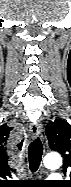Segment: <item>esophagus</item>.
Here are the masks:
<instances>
[{"instance_id": "esophagus-1", "label": "esophagus", "mask_w": 71, "mask_h": 187, "mask_svg": "<svg viewBox=\"0 0 71 187\" xmlns=\"http://www.w3.org/2000/svg\"><path fill=\"white\" fill-rule=\"evenodd\" d=\"M42 125L40 122H33L30 124V133L33 137L41 136Z\"/></svg>"}]
</instances>
